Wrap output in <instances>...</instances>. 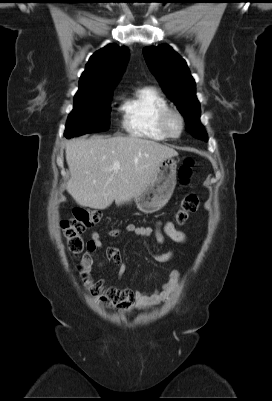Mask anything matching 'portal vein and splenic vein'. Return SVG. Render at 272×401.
<instances>
[{"label": "portal vein and splenic vein", "mask_w": 272, "mask_h": 401, "mask_svg": "<svg viewBox=\"0 0 272 401\" xmlns=\"http://www.w3.org/2000/svg\"><path fill=\"white\" fill-rule=\"evenodd\" d=\"M119 169H120V164L118 162H115L110 170L118 172Z\"/></svg>", "instance_id": "portal-vein-and-splenic-vein-1"}]
</instances>
